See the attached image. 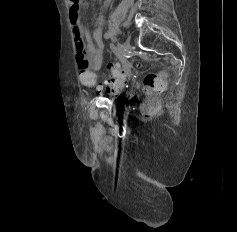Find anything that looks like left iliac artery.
<instances>
[{
	"mask_svg": "<svg viewBox=\"0 0 237 232\" xmlns=\"http://www.w3.org/2000/svg\"><path fill=\"white\" fill-rule=\"evenodd\" d=\"M111 36H112V34L109 33V32H107V33L104 35L105 39H108V38H110Z\"/></svg>",
	"mask_w": 237,
	"mask_h": 232,
	"instance_id": "left-iliac-artery-1",
	"label": "left iliac artery"
}]
</instances>
